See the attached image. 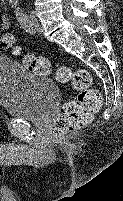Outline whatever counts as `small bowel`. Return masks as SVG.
Masks as SVG:
<instances>
[{
	"label": "small bowel",
	"instance_id": "c3829d8e",
	"mask_svg": "<svg viewBox=\"0 0 123 201\" xmlns=\"http://www.w3.org/2000/svg\"><path fill=\"white\" fill-rule=\"evenodd\" d=\"M10 26H11V22H10L9 18L6 15L1 14L0 15V38H1V42L4 40V38L6 36L10 35L7 33Z\"/></svg>",
	"mask_w": 123,
	"mask_h": 201
}]
</instances>
